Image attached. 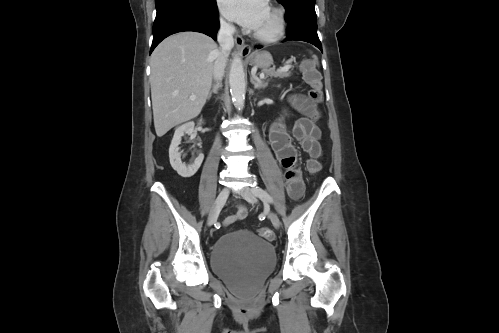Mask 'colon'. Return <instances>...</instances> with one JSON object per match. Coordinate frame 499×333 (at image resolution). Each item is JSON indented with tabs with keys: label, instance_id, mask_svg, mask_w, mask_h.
I'll return each mask as SVG.
<instances>
[{
	"label": "colon",
	"instance_id": "obj_1",
	"mask_svg": "<svg viewBox=\"0 0 499 333\" xmlns=\"http://www.w3.org/2000/svg\"><path fill=\"white\" fill-rule=\"evenodd\" d=\"M303 77L306 83L310 86L308 92L309 100L312 104L318 105L322 101V78L320 73L315 69L309 60H306L302 64ZM319 119V113L313 115V120ZM321 170V164L317 159H308L306 162V171L310 176L317 175ZM259 234L267 239L272 240L274 235L272 231L267 227L259 228Z\"/></svg>",
	"mask_w": 499,
	"mask_h": 333
}]
</instances>
